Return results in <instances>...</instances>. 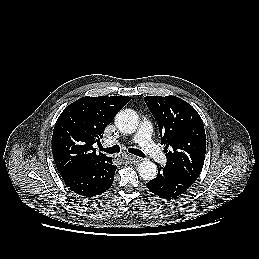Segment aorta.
I'll list each match as a JSON object with an SVG mask.
<instances>
[{
  "label": "aorta",
  "instance_id": "762f6f07",
  "mask_svg": "<svg viewBox=\"0 0 259 259\" xmlns=\"http://www.w3.org/2000/svg\"><path fill=\"white\" fill-rule=\"evenodd\" d=\"M138 124V115L134 110L125 109L118 112L115 116V125L122 133H134ZM138 173L142 179L152 180L157 175V166L152 161H143L138 166Z\"/></svg>",
  "mask_w": 259,
  "mask_h": 259
}]
</instances>
